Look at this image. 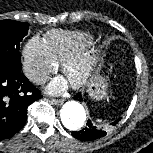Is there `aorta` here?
I'll list each match as a JSON object with an SVG mask.
<instances>
[{
  "mask_svg": "<svg viewBox=\"0 0 153 153\" xmlns=\"http://www.w3.org/2000/svg\"><path fill=\"white\" fill-rule=\"evenodd\" d=\"M60 117L65 128L75 131L85 124L86 111L79 102L71 100L62 106Z\"/></svg>",
  "mask_w": 153,
  "mask_h": 153,
  "instance_id": "aorta-1",
  "label": "aorta"
}]
</instances>
